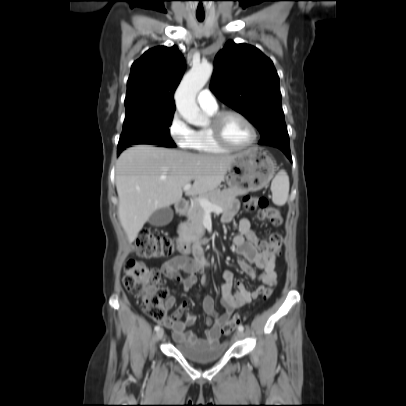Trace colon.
<instances>
[{
  "instance_id": "colon-1",
  "label": "colon",
  "mask_w": 406,
  "mask_h": 406,
  "mask_svg": "<svg viewBox=\"0 0 406 406\" xmlns=\"http://www.w3.org/2000/svg\"><path fill=\"white\" fill-rule=\"evenodd\" d=\"M246 210H258V217L261 220L269 221L273 225H280L282 218L280 212L275 207L269 206L268 201L263 196H246L243 199ZM136 252L143 258H161L173 254L175 243L168 237L151 230L142 229L134 242ZM281 248V236L272 235L266 242L263 252L271 256L279 252ZM123 285L131 293L137 295L141 300V305L151 319L163 323L166 318V311L163 301L168 296V290L162 286L161 273L157 268L145 265L136 259H129L124 266ZM273 289L268 286L264 289L262 298H270ZM244 318L240 314H234L226 321L221 331L229 334L237 326L243 323Z\"/></svg>"
}]
</instances>
